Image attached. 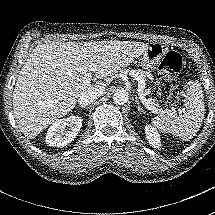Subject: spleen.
<instances>
[{"label":"spleen","mask_w":215,"mask_h":215,"mask_svg":"<svg viewBox=\"0 0 215 215\" xmlns=\"http://www.w3.org/2000/svg\"><path fill=\"white\" fill-rule=\"evenodd\" d=\"M186 110L178 115H161L152 119V124L163 133H171L182 140L192 139L204 119L205 103L200 85L191 82L185 100Z\"/></svg>","instance_id":"1"}]
</instances>
